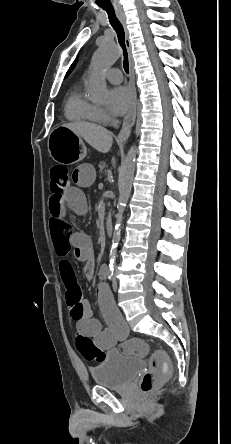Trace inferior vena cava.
Listing matches in <instances>:
<instances>
[{
  "mask_svg": "<svg viewBox=\"0 0 231 444\" xmlns=\"http://www.w3.org/2000/svg\"><path fill=\"white\" fill-rule=\"evenodd\" d=\"M118 123H119L118 120H114V121H113V126L116 127V128H118Z\"/></svg>",
  "mask_w": 231,
  "mask_h": 444,
  "instance_id": "1",
  "label": "inferior vena cava"
}]
</instances>
